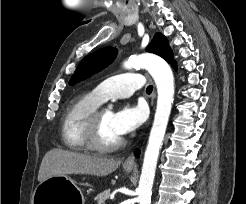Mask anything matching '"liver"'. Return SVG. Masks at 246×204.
Masks as SVG:
<instances>
[{
	"label": "liver",
	"instance_id": "1",
	"mask_svg": "<svg viewBox=\"0 0 246 204\" xmlns=\"http://www.w3.org/2000/svg\"><path fill=\"white\" fill-rule=\"evenodd\" d=\"M121 164L120 160L102 158L62 149H51L42 159L38 181L67 174H88L103 177L111 174Z\"/></svg>",
	"mask_w": 246,
	"mask_h": 204
}]
</instances>
